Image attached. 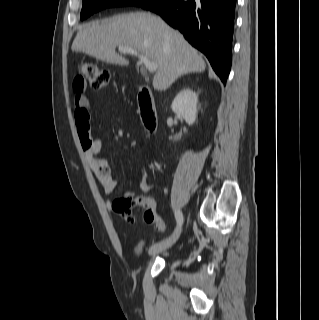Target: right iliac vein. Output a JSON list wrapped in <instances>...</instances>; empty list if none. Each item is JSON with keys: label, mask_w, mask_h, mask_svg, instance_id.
I'll use <instances>...</instances> for the list:
<instances>
[{"label": "right iliac vein", "mask_w": 319, "mask_h": 320, "mask_svg": "<svg viewBox=\"0 0 319 320\" xmlns=\"http://www.w3.org/2000/svg\"><path fill=\"white\" fill-rule=\"evenodd\" d=\"M180 231V229H177L171 237L151 246L149 253L154 255L171 247L178 239Z\"/></svg>", "instance_id": "obj_1"}]
</instances>
